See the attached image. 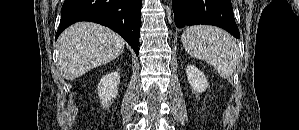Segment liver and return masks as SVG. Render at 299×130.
<instances>
[{"label": "liver", "mask_w": 299, "mask_h": 130, "mask_svg": "<svg viewBox=\"0 0 299 130\" xmlns=\"http://www.w3.org/2000/svg\"><path fill=\"white\" fill-rule=\"evenodd\" d=\"M124 39L99 24L79 22L61 33L58 39V65L66 80L116 59L123 52Z\"/></svg>", "instance_id": "obj_1"}]
</instances>
